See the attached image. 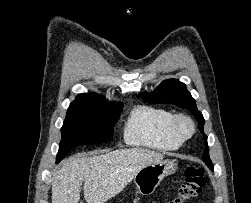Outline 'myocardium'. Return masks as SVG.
<instances>
[{
  "label": "myocardium",
  "instance_id": "1",
  "mask_svg": "<svg viewBox=\"0 0 251 203\" xmlns=\"http://www.w3.org/2000/svg\"><path fill=\"white\" fill-rule=\"evenodd\" d=\"M172 126L174 132L183 140L189 139L195 132V124L186 114L175 115Z\"/></svg>",
  "mask_w": 251,
  "mask_h": 203
}]
</instances>
